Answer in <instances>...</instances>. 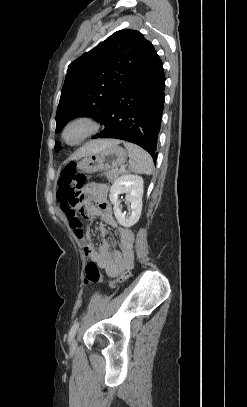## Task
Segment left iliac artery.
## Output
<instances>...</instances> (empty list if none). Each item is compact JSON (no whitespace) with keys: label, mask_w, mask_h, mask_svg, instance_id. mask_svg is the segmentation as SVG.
<instances>
[{"label":"left iliac artery","mask_w":247,"mask_h":407,"mask_svg":"<svg viewBox=\"0 0 247 407\" xmlns=\"http://www.w3.org/2000/svg\"><path fill=\"white\" fill-rule=\"evenodd\" d=\"M78 327H79V322H75V323L73 324V326L71 327V329H70V331H69V338H68L69 342H70L71 339L74 337V335H75V333H76Z\"/></svg>","instance_id":"obj_1"}]
</instances>
